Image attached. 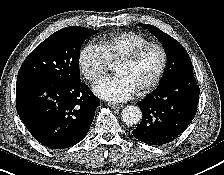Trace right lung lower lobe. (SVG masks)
I'll return each instance as SVG.
<instances>
[{"label": "right lung lower lobe", "instance_id": "98d812e1", "mask_svg": "<svg viewBox=\"0 0 224 175\" xmlns=\"http://www.w3.org/2000/svg\"><path fill=\"white\" fill-rule=\"evenodd\" d=\"M99 99L82 81L20 77L16 106L21 120L42 145L64 149L88 133Z\"/></svg>", "mask_w": 224, "mask_h": 175}]
</instances>
